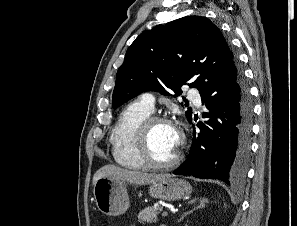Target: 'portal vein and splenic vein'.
<instances>
[{
    "instance_id": "18ae733b",
    "label": "portal vein and splenic vein",
    "mask_w": 297,
    "mask_h": 226,
    "mask_svg": "<svg viewBox=\"0 0 297 226\" xmlns=\"http://www.w3.org/2000/svg\"><path fill=\"white\" fill-rule=\"evenodd\" d=\"M162 216H163V217L168 216V212H167V211H164V212L162 213Z\"/></svg>"
}]
</instances>
